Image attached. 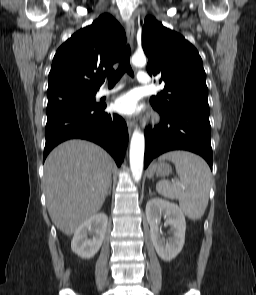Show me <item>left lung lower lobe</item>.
Here are the masks:
<instances>
[{"label": "left lung lower lobe", "mask_w": 256, "mask_h": 295, "mask_svg": "<svg viewBox=\"0 0 256 295\" xmlns=\"http://www.w3.org/2000/svg\"><path fill=\"white\" fill-rule=\"evenodd\" d=\"M160 116V124L145 129L144 168L165 152L187 150L202 156L212 169L209 114L178 110L166 115L160 113Z\"/></svg>", "instance_id": "1"}]
</instances>
